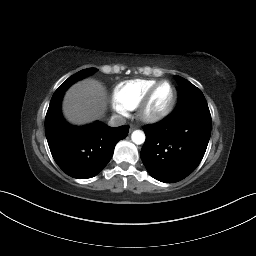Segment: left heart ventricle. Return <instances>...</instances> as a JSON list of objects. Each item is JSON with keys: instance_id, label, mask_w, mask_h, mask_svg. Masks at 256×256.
<instances>
[{"instance_id": "obj_1", "label": "left heart ventricle", "mask_w": 256, "mask_h": 256, "mask_svg": "<svg viewBox=\"0 0 256 256\" xmlns=\"http://www.w3.org/2000/svg\"><path fill=\"white\" fill-rule=\"evenodd\" d=\"M172 97V89L168 84H163L158 88L151 101L150 110L159 111L165 108Z\"/></svg>"}]
</instances>
